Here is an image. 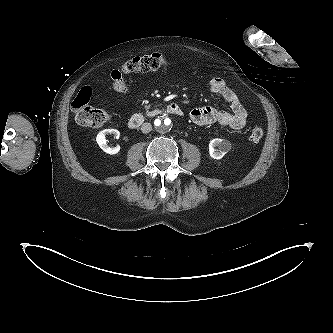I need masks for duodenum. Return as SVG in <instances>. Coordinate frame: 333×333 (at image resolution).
I'll return each instance as SVG.
<instances>
[{
  "mask_svg": "<svg viewBox=\"0 0 333 333\" xmlns=\"http://www.w3.org/2000/svg\"><path fill=\"white\" fill-rule=\"evenodd\" d=\"M168 113L172 115L182 116L183 110L177 103H170L162 109H153L146 112L135 113L128 120V126L131 129L140 127L147 118L155 117L159 114Z\"/></svg>",
  "mask_w": 333,
  "mask_h": 333,
  "instance_id": "410a0bca",
  "label": "duodenum"
}]
</instances>
